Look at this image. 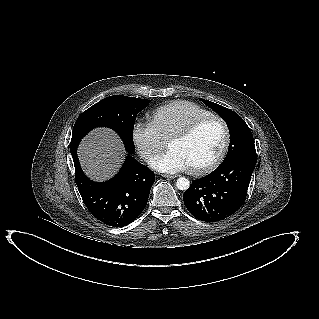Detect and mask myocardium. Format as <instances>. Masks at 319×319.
I'll return each instance as SVG.
<instances>
[{
    "label": "myocardium",
    "instance_id": "f54148a6",
    "mask_svg": "<svg viewBox=\"0 0 319 319\" xmlns=\"http://www.w3.org/2000/svg\"><path fill=\"white\" fill-rule=\"evenodd\" d=\"M209 121H216L222 127L223 134H224L223 143H222V146H221L219 153L216 155V157L211 162H209L208 164L201 166V167L188 168V172L192 175L208 174V173L212 172L213 170H215L224 160V158L228 152V148L230 145V139H231L230 130H229V127H228L227 123L225 122V120L222 119L221 117H219L217 115H213V114L199 117V118L193 120L192 122H190L188 125H186L184 128H182L180 131L173 134L168 140V145H170L174 141L185 140V139L189 138L201 125H203L204 123L209 122Z\"/></svg>",
    "mask_w": 319,
    "mask_h": 319
}]
</instances>
